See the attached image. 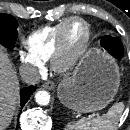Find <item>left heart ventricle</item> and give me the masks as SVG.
Returning a JSON list of instances; mask_svg holds the SVG:
<instances>
[{"mask_svg":"<svg viewBox=\"0 0 130 130\" xmlns=\"http://www.w3.org/2000/svg\"><path fill=\"white\" fill-rule=\"evenodd\" d=\"M85 38V29L80 22H74L68 31V42L71 49H78Z\"/></svg>","mask_w":130,"mask_h":130,"instance_id":"1","label":"left heart ventricle"}]
</instances>
